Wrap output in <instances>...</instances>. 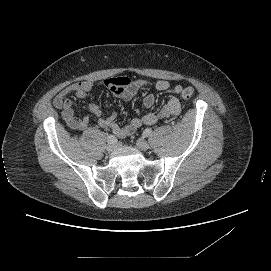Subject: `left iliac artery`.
Masks as SVG:
<instances>
[{"label": "left iliac artery", "mask_w": 271, "mask_h": 271, "mask_svg": "<svg viewBox=\"0 0 271 271\" xmlns=\"http://www.w3.org/2000/svg\"><path fill=\"white\" fill-rule=\"evenodd\" d=\"M151 134H152L151 128H146V129L144 130V135H145V136H150Z\"/></svg>", "instance_id": "44dca946"}]
</instances>
